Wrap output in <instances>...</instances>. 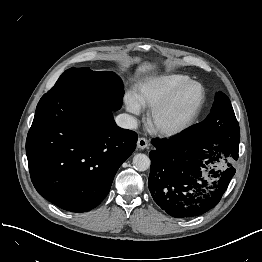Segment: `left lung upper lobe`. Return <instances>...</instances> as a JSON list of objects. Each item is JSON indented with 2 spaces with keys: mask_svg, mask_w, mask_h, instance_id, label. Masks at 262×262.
<instances>
[{
  "mask_svg": "<svg viewBox=\"0 0 262 262\" xmlns=\"http://www.w3.org/2000/svg\"><path fill=\"white\" fill-rule=\"evenodd\" d=\"M225 131L240 132V129L229 98L220 91L215 95V101L207 118L184 133L208 137Z\"/></svg>",
  "mask_w": 262,
  "mask_h": 262,
  "instance_id": "left-lung-upper-lobe-1",
  "label": "left lung upper lobe"
}]
</instances>
